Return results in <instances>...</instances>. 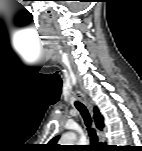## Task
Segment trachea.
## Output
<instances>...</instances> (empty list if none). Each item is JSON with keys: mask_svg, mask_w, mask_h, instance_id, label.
Segmentation results:
<instances>
[{"mask_svg": "<svg viewBox=\"0 0 142 151\" xmlns=\"http://www.w3.org/2000/svg\"><path fill=\"white\" fill-rule=\"evenodd\" d=\"M74 104L84 119L85 125H86L87 130H88V134L90 136L91 143L97 144L98 143L97 142V136H96L94 129L91 127L92 119L90 117V114H89L87 108L79 101H75Z\"/></svg>", "mask_w": 142, "mask_h": 151, "instance_id": "obj_1", "label": "trachea"}]
</instances>
